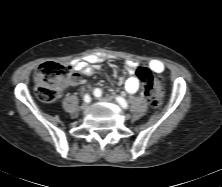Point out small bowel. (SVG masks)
I'll use <instances>...</instances> for the list:
<instances>
[{
	"mask_svg": "<svg viewBox=\"0 0 222 187\" xmlns=\"http://www.w3.org/2000/svg\"><path fill=\"white\" fill-rule=\"evenodd\" d=\"M107 56L104 54H91L86 56L84 59L74 60L72 62L73 67L84 75H93L97 68V65L106 60ZM137 62L134 60H127L125 62V68L130 73V77L125 81V89L129 94H134L140 87V82L135 69ZM148 68L155 73H162L164 71V65L158 60H153L148 64ZM77 83L83 84L82 80H78Z\"/></svg>",
	"mask_w": 222,
	"mask_h": 187,
	"instance_id": "obj_1",
	"label": "small bowel"
}]
</instances>
